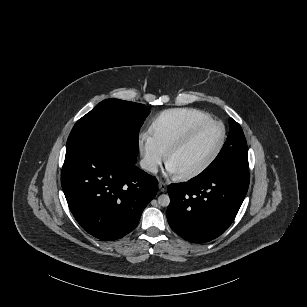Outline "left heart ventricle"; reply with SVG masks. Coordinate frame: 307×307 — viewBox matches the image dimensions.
Listing matches in <instances>:
<instances>
[{
	"label": "left heart ventricle",
	"mask_w": 307,
	"mask_h": 307,
	"mask_svg": "<svg viewBox=\"0 0 307 307\" xmlns=\"http://www.w3.org/2000/svg\"><path fill=\"white\" fill-rule=\"evenodd\" d=\"M223 136L222 124L216 123L209 126L192 144L175 154L169 165L177 175L200 166L216 151Z\"/></svg>",
	"instance_id": "obj_1"
}]
</instances>
